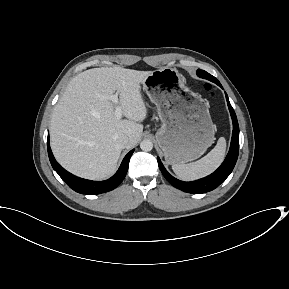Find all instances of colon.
<instances>
[{
  "label": "colon",
  "mask_w": 289,
  "mask_h": 289,
  "mask_svg": "<svg viewBox=\"0 0 289 289\" xmlns=\"http://www.w3.org/2000/svg\"><path fill=\"white\" fill-rule=\"evenodd\" d=\"M204 88L207 92H209L210 96H214V93L209 85H205Z\"/></svg>",
  "instance_id": "5ec220e1"
}]
</instances>
